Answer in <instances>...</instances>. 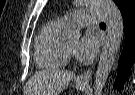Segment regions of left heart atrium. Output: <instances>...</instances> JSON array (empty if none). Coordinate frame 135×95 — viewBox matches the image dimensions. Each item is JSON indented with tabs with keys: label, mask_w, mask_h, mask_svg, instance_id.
Listing matches in <instances>:
<instances>
[{
	"label": "left heart atrium",
	"mask_w": 135,
	"mask_h": 95,
	"mask_svg": "<svg viewBox=\"0 0 135 95\" xmlns=\"http://www.w3.org/2000/svg\"><path fill=\"white\" fill-rule=\"evenodd\" d=\"M100 47V38L92 32H86L76 50V56L82 61H91L98 53Z\"/></svg>",
	"instance_id": "1"
}]
</instances>
